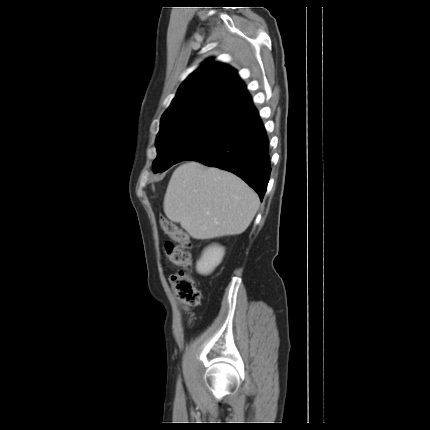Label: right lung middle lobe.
Masks as SVG:
<instances>
[{
    "instance_id": "right-lung-middle-lobe-1",
    "label": "right lung middle lobe",
    "mask_w": 430,
    "mask_h": 430,
    "mask_svg": "<svg viewBox=\"0 0 430 430\" xmlns=\"http://www.w3.org/2000/svg\"><path fill=\"white\" fill-rule=\"evenodd\" d=\"M240 116L224 101H208L162 117L154 173L186 160L233 126Z\"/></svg>"
}]
</instances>
